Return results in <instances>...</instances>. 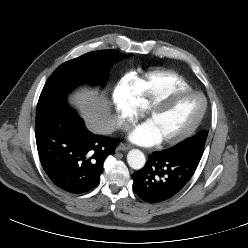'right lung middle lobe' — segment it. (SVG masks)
<instances>
[{
    "instance_id": "dd1d6c3e",
    "label": "right lung middle lobe",
    "mask_w": 248,
    "mask_h": 248,
    "mask_svg": "<svg viewBox=\"0 0 248 248\" xmlns=\"http://www.w3.org/2000/svg\"><path fill=\"white\" fill-rule=\"evenodd\" d=\"M118 56L116 50H99L63 63L48 78L38 102L65 100L67 93L82 83L105 85L108 63Z\"/></svg>"
}]
</instances>
